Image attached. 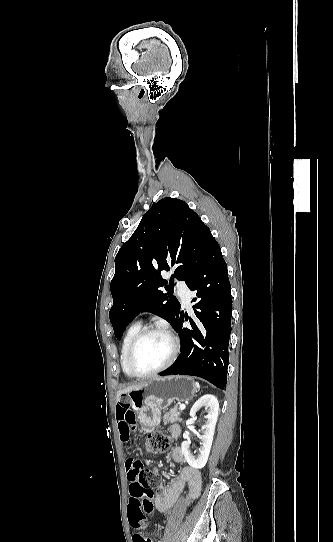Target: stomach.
Instances as JSON below:
<instances>
[{
    "label": "stomach",
    "instance_id": "stomach-1",
    "mask_svg": "<svg viewBox=\"0 0 333 542\" xmlns=\"http://www.w3.org/2000/svg\"><path fill=\"white\" fill-rule=\"evenodd\" d=\"M195 392L191 378L164 376L148 380L140 390L122 394L117 400H129L130 408L135 412L139 424L151 430L159 426L162 408H168L174 400L190 402ZM140 433L143 435L145 432L142 430Z\"/></svg>",
    "mask_w": 333,
    "mask_h": 542
}]
</instances>
